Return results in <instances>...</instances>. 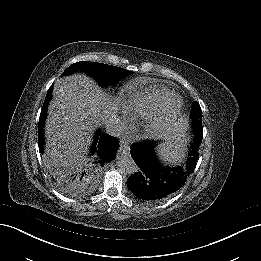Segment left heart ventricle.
I'll return each mask as SVG.
<instances>
[{"label":"left heart ventricle","instance_id":"obj_1","mask_svg":"<svg viewBox=\"0 0 261 261\" xmlns=\"http://www.w3.org/2000/svg\"><path fill=\"white\" fill-rule=\"evenodd\" d=\"M175 108H176L175 103H172V104L170 105V107H169V111H170V112H173V111L175 110Z\"/></svg>","mask_w":261,"mask_h":261}]
</instances>
